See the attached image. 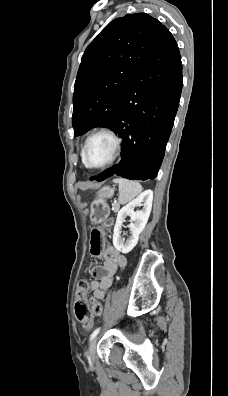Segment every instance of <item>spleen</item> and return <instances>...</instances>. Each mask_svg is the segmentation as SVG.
I'll return each mask as SVG.
<instances>
[{
	"label": "spleen",
	"mask_w": 228,
	"mask_h": 396,
	"mask_svg": "<svg viewBox=\"0 0 228 396\" xmlns=\"http://www.w3.org/2000/svg\"><path fill=\"white\" fill-rule=\"evenodd\" d=\"M113 182L119 184V202L121 204L130 202L142 191V186L136 181L115 178Z\"/></svg>",
	"instance_id": "obj_1"
}]
</instances>
